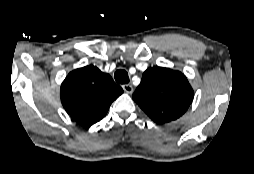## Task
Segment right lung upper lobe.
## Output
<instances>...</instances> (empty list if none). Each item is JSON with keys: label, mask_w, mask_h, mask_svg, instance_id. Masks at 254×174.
<instances>
[{"label": "right lung upper lobe", "mask_w": 254, "mask_h": 174, "mask_svg": "<svg viewBox=\"0 0 254 174\" xmlns=\"http://www.w3.org/2000/svg\"><path fill=\"white\" fill-rule=\"evenodd\" d=\"M123 93L109 74L89 65L68 74L61 85V102L76 121L92 125L107 113L111 103Z\"/></svg>", "instance_id": "1"}]
</instances>
